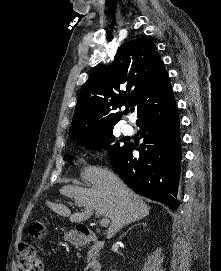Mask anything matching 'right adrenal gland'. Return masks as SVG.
Returning <instances> with one entry per match:
<instances>
[{
  "instance_id": "1",
  "label": "right adrenal gland",
  "mask_w": 221,
  "mask_h": 271,
  "mask_svg": "<svg viewBox=\"0 0 221 271\" xmlns=\"http://www.w3.org/2000/svg\"><path fill=\"white\" fill-rule=\"evenodd\" d=\"M135 225H140V223H135ZM142 225H146V223H142ZM129 229H132V227H129Z\"/></svg>"
}]
</instances>
